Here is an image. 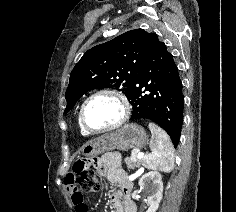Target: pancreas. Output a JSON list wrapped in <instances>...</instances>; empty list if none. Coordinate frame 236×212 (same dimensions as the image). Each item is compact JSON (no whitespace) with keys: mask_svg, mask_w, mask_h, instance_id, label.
<instances>
[{"mask_svg":"<svg viewBox=\"0 0 236 212\" xmlns=\"http://www.w3.org/2000/svg\"><path fill=\"white\" fill-rule=\"evenodd\" d=\"M125 164L127 165L128 169H135V168H139L142 163H143V159H138L136 157H126L124 159Z\"/></svg>","mask_w":236,"mask_h":212,"instance_id":"pancreas-1","label":"pancreas"}]
</instances>
